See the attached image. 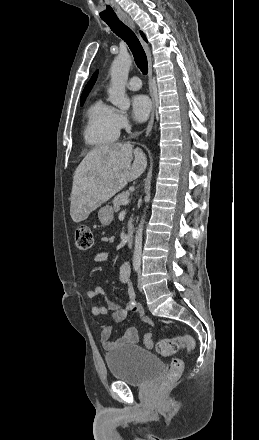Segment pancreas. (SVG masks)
<instances>
[{"label":"pancreas","mask_w":259,"mask_h":440,"mask_svg":"<svg viewBox=\"0 0 259 440\" xmlns=\"http://www.w3.org/2000/svg\"><path fill=\"white\" fill-rule=\"evenodd\" d=\"M128 197H129V192H128V191H125V192L120 193L119 195H117V196L114 198V200H113V206H114V211H115V212H118V211L120 210V207L123 205V204H122V200H123L124 198H128ZM131 221H132V219H130L129 222H131Z\"/></svg>","instance_id":"pancreas-1"}]
</instances>
